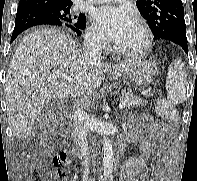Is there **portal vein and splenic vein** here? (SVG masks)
<instances>
[{
  "label": "portal vein and splenic vein",
  "mask_w": 197,
  "mask_h": 181,
  "mask_svg": "<svg viewBox=\"0 0 197 181\" xmlns=\"http://www.w3.org/2000/svg\"><path fill=\"white\" fill-rule=\"evenodd\" d=\"M52 76L54 78L64 79V80H66L70 84H73L74 83V79L72 77H70V76H68V75H66V74H64V73H62L60 71H57V72L53 73ZM125 107H126V104L124 102H121L119 104V108L120 109H123Z\"/></svg>",
  "instance_id": "1"
}]
</instances>
